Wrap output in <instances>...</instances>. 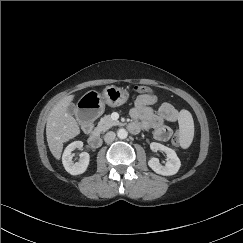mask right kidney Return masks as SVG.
Instances as JSON below:
<instances>
[{"label": "right kidney", "instance_id": "ca27d5eb", "mask_svg": "<svg viewBox=\"0 0 243 243\" xmlns=\"http://www.w3.org/2000/svg\"><path fill=\"white\" fill-rule=\"evenodd\" d=\"M83 142L82 141H74L69 144L63 153L62 156V163L65 170L70 173L71 175H79L84 173L89 165L90 156L87 152H82L80 154V159L78 162H73L72 160V151L75 149H82Z\"/></svg>", "mask_w": 243, "mask_h": 243}]
</instances>
